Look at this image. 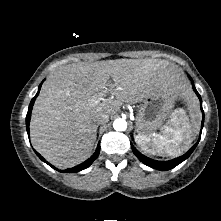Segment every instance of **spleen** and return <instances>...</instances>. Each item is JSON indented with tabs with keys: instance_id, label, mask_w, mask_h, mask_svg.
<instances>
[{
	"instance_id": "obj_1",
	"label": "spleen",
	"mask_w": 221,
	"mask_h": 221,
	"mask_svg": "<svg viewBox=\"0 0 221 221\" xmlns=\"http://www.w3.org/2000/svg\"><path fill=\"white\" fill-rule=\"evenodd\" d=\"M191 118L184 109H176L162 134H138L134 136L135 142L144 152L152 155L179 156L188 150L194 139V113H191Z\"/></svg>"
}]
</instances>
